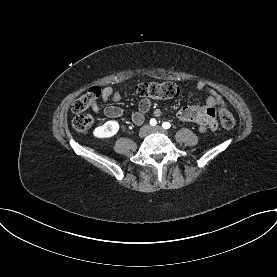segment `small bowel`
Returning <instances> with one entry per match:
<instances>
[{
    "label": "small bowel",
    "mask_w": 277,
    "mask_h": 277,
    "mask_svg": "<svg viewBox=\"0 0 277 277\" xmlns=\"http://www.w3.org/2000/svg\"><path fill=\"white\" fill-rule=\"evenodd\" d=\"M197 88L209 93L206 103L202 106L189 105L180 108L177 111V118L181 121L197 124L200 131H205L208 128L214 130L217 128L215 107L225 105L224 100L217 91L203 81L197 83ZM101 98L104 102H108L109 100L119 102L121 100V95L113 87L106 86L101 90ZM150 107L151 102L149 99L141 100L138 109L131 114L132 122L135 125H141ZM92 109L95 113L101 112L97 103H93ZM102 113L108 118H119L123 115V109L116 105H108L102 110ZM161 115L162 111L160 109L154 110L155 117H160Z\"/></svg>",
    "instance_id": "1"
}]
</instances>
